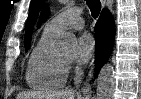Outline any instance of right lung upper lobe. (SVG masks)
<instances>
[{
	"label": "right lung upper lobe",
	"mask_w": 141,
	"mask_h": 99,
	"mask_svg": "<svg viewBox=\"0 0 141 99\" xmlns=\"http://www.w3.org/2000/svg\"><path fill=\"white\" fill-rule=\"evenodd\" d=\"M49 13H50V9L49 7L44 4L43 5V9H42V13H41V17H40V22H44L46 21V19L48 18L49 16ZM40 24V23H39Z\"/></svg>",
	"instance_id": "1"
}]
</instances>
